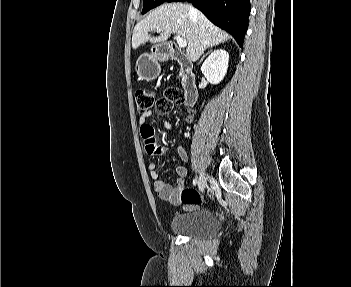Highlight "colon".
<instances>
[{
  "label": "colon",
  "instance_id": "colon-1",
  "mask_svg": "<svg viewBox=\"0 0 351 287\" xmlns=\"http://www.w3.org/2000/svg\"><path fill=\"white\" fill-rule=\"evenodd\" d=\"M183 101L184 94L179 88H168L164 97L157 101L154 92L148 88H139L135 92V102L139 113H145L154 108L157 114L166 115L174 105L182 104ZM180 199L184 205L191 206L199 203L201 197L196 190L186 188L181 192Z\"/></svg>",
  "mask_w": 351,
  "mask_h": 287
}]
</instances>
